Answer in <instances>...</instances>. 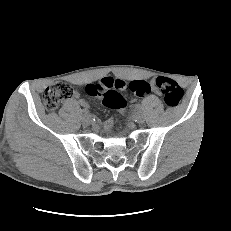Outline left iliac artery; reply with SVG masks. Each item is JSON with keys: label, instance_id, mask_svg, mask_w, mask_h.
<instances>
[{"label": "left iliac artery", "instance_id": "44dca946", "mask_svg": "<svg viewBox=\"0 0 231 231\" xmlns=\"http://www.w3.org/2000/svg\"><path fill=\"white\" fill-rule=\"evenodd\" d=\"M141 109H142V106H141L140 104H135L134 107H133V110H134L135 112H138V111H140Z\"/></svg>", "mask_w": 231, "mask_h": 231}]
</instances>
